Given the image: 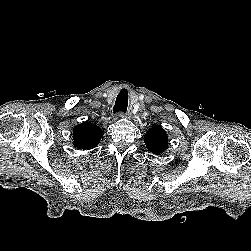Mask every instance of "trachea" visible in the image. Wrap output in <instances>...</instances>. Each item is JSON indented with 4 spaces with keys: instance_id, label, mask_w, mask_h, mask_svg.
Returning <instances> with one entry per match:
<instances>
[{
    "instance_id": "obj_1",
    "label": "trachea",
    "mask_w": 251,
    "mask_h": 251,
    "mask_svg": "<svg viewBox=\"0 0 251 251\" xmlns=\"http://www.w3.org/2000/svg\"><path fill=\"white\" fill-rule=\"evenodd\" d=\"M128 106V92L125 88L121 89L117 95L115 105L113 108L114 113H125Z\"/></svg>"
}]
</instances>
